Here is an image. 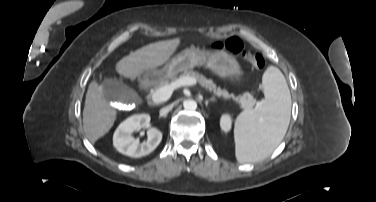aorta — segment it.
Masks as SVG:
<instances>
[{
	"mask_svg": "<svg viewBox=\"0 0 376 202\" xmlns=\"http://www.w3.org/2000/svg\"><path fill=\"white\" fill-rule=\"evenodd\" d=\"M183 106L187 111H194L197 109V102L195 100H185Z\"/></svg>",
	"mask_w": 376,
	"mask_h": 202,
	"instance_id": "1",
	"label": "aorta"
}]
</instances>
